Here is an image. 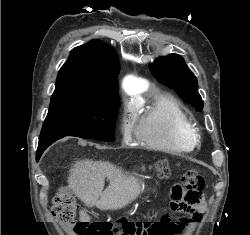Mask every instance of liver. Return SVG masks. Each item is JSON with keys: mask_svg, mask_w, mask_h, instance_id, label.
<instances>
[{"mask_svg": "<svg viewBox=\"0 0 250 235\" xmlns=\"http://www.w3.org/2000/svg\"><path fill=\"white\" fill-rule=\"evenodd\" d=\"M68 184L88 207L116 210L135 200L141 192V180L125 175L110 162L80 160L70 170ZM105 178L109 185L104 190Z\"/></svg>", "mask_w": 250, "mask_h": 235, "instance_id": "liver-1", "label": "liver"}]
</instances>
